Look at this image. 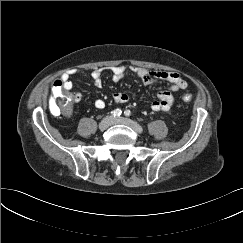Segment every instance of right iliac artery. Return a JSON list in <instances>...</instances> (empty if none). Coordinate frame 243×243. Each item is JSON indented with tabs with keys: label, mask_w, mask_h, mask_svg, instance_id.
Returning <instances> with one entry per match:
<instances>
[{
	"label": "right iliac artery",
	"mask_w": 243,
	"mask_h": 243,
	"mask_svg": "<svg viewBox=\"0 0 243 243\" xmlns=\"http://www.w3.org/2000/svg\"><path fill=\"white\" fill-rule=\"evenodd\" d=\"M122 114V111L120 109H115L111 112V116L116 118L119 117Z\"/></svg>",
	"instance_id": "82829eb1"
}]
</instances>
